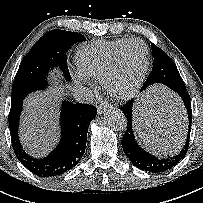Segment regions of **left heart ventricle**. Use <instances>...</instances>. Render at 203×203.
Segmentation results:
<instances>
[{
    "label": "left heart ventricle",
    "instance_id": "obj_1",
    "mask_svg": "<svg viewBox=\"0 0 203 203\" xmlns=\"http://www.w3.org/2000/svg\"><path fill=\"white\" fill-rule=\"evenodd\" d=\"M145 60V51L141 44H130L114 79L113 87L117 92L127 90L141 71Z\"/></svg>",
    "mask_w": 203,
    "mask_h": 203
}]
</instances>
